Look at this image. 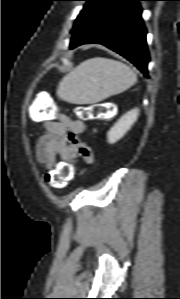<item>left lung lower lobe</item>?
Segmentation results:
<instances>
[{"mask_svg":"<svg viewBox=\"0 0 180 299\" xmlns=\"http://www.w3.org/2000/svg\"><path fill=\"white\" fill-rule=\"evenodd\" d=\"M139 1L145 0H96L74 31L70 49L82 44H102L148 77L149 53Z\"/></svg>","mask_w":180,"mask_h":299,"instance_id":"left-lung-lower-lobe-1","label":"left lung lower lobe"}]
</instances>
